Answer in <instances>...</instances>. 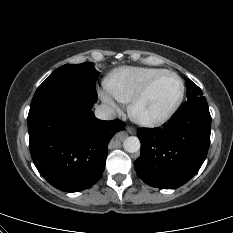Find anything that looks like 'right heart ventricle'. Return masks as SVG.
I'll return each instance as SVG.
<instances>
[{"mask_svg":"<svg viewBox=\"0 0 233 233\" xmlns=\"http://www.w3.org/2000/svg\"><path fill=\"white\" fill-rule=\"evenodd\" d=\"M164 69L152 67H123L105 79L107 92L122 103H129L153 76Z\"/></svg>","mask_w":233,"mask_h":233,"instance_id":"1","label":"right heart ventricle"}]
</instances>
